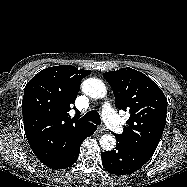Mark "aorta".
Masks as SVG:
<instances>
[{
	"label": "aorta",
	"mask_w": 187,
	"mask_h": 187,
	"mask_svg": "<svg viewBox=\"0 0 187 187\" xmlns=\"http://www.w3.org/2000/svg\"><path fill=\"white\" fill-rule=\"evenodd\" d=\"M82 90L87 96L95 99H102L107 93L105 84L96 78L85 80L82 84ZM99 142L101 147L107 151L112 150L116 145V139L111 134H104Z\"/></svg>",
	"instance_id": "1"
}]
</instances>
